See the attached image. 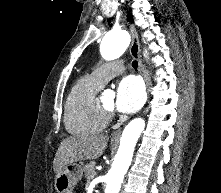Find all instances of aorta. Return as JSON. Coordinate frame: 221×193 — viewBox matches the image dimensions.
<instances>
[{
  "label": "aorta",
  "instance_id": "aorta-1",
  "mask_svg": "<svg viewBox=\"0 0 221 193\" xmlns=\"http://www.w3.org/2000/svg\"><path fill=\"white\" fill-rule=\"evenodd\" d=\"M129 42L130 38L127 31H110L101 42V55L106 60L116 59L126 51ZM144 128V119L136 118L123 130L118 152L106 175L105 193H119L124 175L131 164L135 145Z\"/></svg>",
  "mask_w": 221,
  "mask_h": 193
}]
</instances>
